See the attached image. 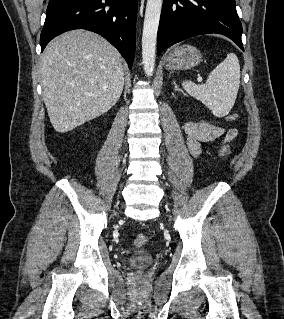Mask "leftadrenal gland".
I'll return each instance as SVG.
<instances>
[{"mask_svg": "<svg viewBox=\"0 0 284 319\" xmlns=\"http://www.w3.org/2000/svg\"><path fill=\"white\" fill-rule=\"evenodd\" d=\"M173 83H174V85H175V90H179V88H178L176 82L174 81Z\"/></svg>", "mask_w": 284, "mask_h": 319, "instance_id": "a2214340", "label": "left adrenal gland"}]
</instances>
